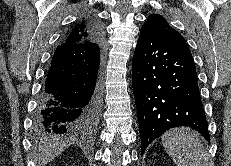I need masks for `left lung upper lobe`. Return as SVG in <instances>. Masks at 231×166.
Listing matches in <instances>:
<instances>
[{"label":"left lung upper lobe","instance_id":"obj_1","mask_svg":"<svg viewBox=\"0 0 231 166\" xmlns=\"http://www.w3.org/2000/svg\"><path fill=\"white\" fill-rule=\"evenodd\" d=\"M142 28L150 31L152 34L164 41L174 42L187 46L184 37L178 31L170 27L166 19L161 15H149Z\"/></svg>","mask_w":231,"mask_h":166}]
</instances>
